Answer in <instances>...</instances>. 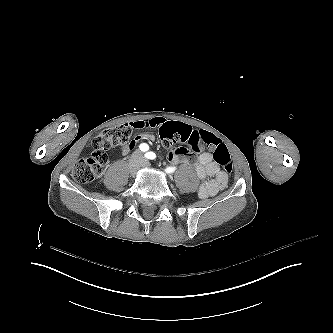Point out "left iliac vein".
<instances>
[{
    "label": "left iliac vein",
    "instance_id": "4c4485c4",
    "mask_svg": "<svg viewBox=\"0 0 333 333\" xmlns=\"http://www.w3.org/2000/svg\"><path fill=\"white\" fill-rule=\"evenodd\" d=\"M148 164L145 162V166H147Z\"/></svg>",
    "mask_w": 333,
    "mask_h": 333
}]
</instances>
